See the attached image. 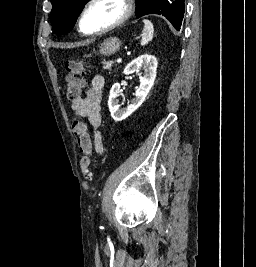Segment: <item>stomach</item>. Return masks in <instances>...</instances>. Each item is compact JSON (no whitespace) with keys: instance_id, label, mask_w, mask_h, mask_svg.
<instances>
[{"instance_id":"0dacf381","label":"stomach","mask_w":256,"mask_h":267,"mask_svg":"<svg viewBox=\"0 0 256 267\" xmlns=\"http://www.w3.org/2000/svg\"><path fill=\"white\" fill-rule=\"evenodd\" d=\"M121 42L119 38H106L99 46L98 54L102 56H111L120 50Z\"/></svg>"}]
</instances>
